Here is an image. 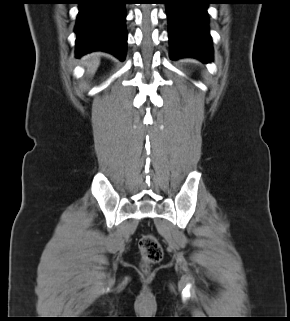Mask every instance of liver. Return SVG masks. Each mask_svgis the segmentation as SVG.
Here are the masks:
<instances>
[{
  "label": "liver",
  "instance_id": "1",
  "mask_svg": "<svg viewBox=\"0 0 290 321\" xmlns=\"http://www.w3.org/2000/svg\"><path fill=\"white\" fill-rule=\"evenodd\" d=\"M81 63L87 68V72L93 75L100 64V55L98 53H91L82 58Z\"/></svg>",
  "mask_w": 290,
  "mask_h": 321
}]
</instances>
